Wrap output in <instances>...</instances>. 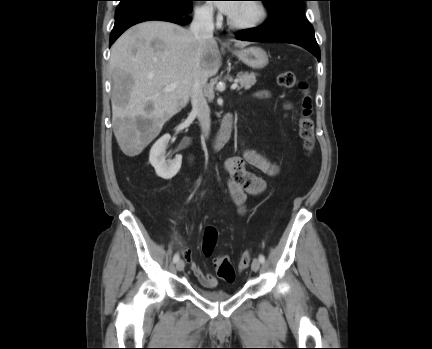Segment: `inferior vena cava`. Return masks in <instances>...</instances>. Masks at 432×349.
<instances>
[{"instance_id": "1", "label": "inferior vena cava", "mask_w": 432, "mask_h": 349, "mask_svg": "<svg viewBox=\"0 0 432 349\" xmlns=\"http://www.w3.org/2000/svg\"><path fill=\"white\" fill-rule=\"evenodd\" d=\"M214 23L213 9H197L190 25V32L195 39L201 43L206 39L213 38ZM206 81L201 77L200 71L196 70L191 91L192 112L195 113L200 122L202 130V142L208 137L210 131V109L203 94V87Z\"/></svg>"}]
</instances>
